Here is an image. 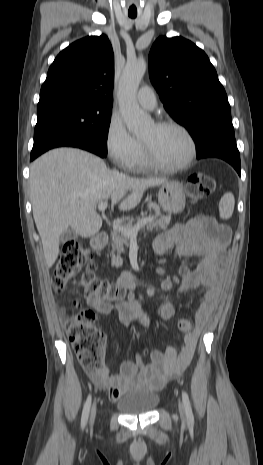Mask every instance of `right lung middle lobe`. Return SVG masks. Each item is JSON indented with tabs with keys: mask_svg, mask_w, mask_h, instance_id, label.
<instances>
[{
	"mask_svg": "<svg viewBox=\"0 0 263 465\" xmlns=\"http://www.w3.org/2000/svg\"><path fill=\"white\" fill-rule=\"evenodd\" d=\"M112 105L77 98H54L39 102L34 145L58 135L80 136L107 155Z\"/></svg>",
	"mask_w": 263,
	"mask_h": 465,
	"instance_id": "right-lung-middle-lobe-1",
	"label": "right lung middle lobe"
}]
</instances>
